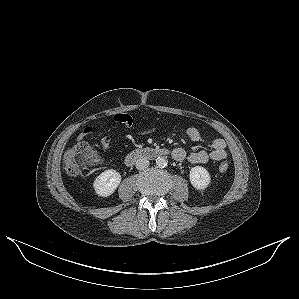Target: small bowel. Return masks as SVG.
Wrapping results in <instances>:
<instances>
[{
    "instance_id": "small-bowel-1",
    "label": "small bowel",
    "mask_w": 299,
    "mask_h": 299,
    "mask_svg": "<svg viewBox=\"0 0 299 299\" xmlns=\"http://www.w3.org/2000/svg\"><path fill=\"white\" fill-rule=\"evenodd\" d=\"M113 120L120 123L126 127L132 125V118L127 114H117L113 116ZM154 129H149L143 133L153 132ZM93 128L91 126H86L80 133V138H84L92 134ZM187 136L193 142H201L204 140L203 134L196 127H189L186 131ZM112 142L111 136H104L100 141L101 148L106 151ZM173 158L177 161H188L192 164H203L208 161H220L227 157V144L224 139L217 138L211 142L210 151H195L187 153L183 148H175L173 150Z\"/></svg>"
}]
</instances>
